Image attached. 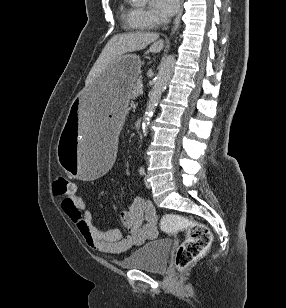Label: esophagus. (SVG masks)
<instances>
[{"mask_svg": "<svg viewBox=\"0 0 286 308\" xmlns=\"http://www.w3.org/2000/svg\"><path fill=\"white\" fill-rule=\"evenodd\" d=\"M182 1H183V0H182ZM181 14H182V8L179 10L178 15H177V17H176V19H175V23H176V24L179 23V19H180Z\"/></svg>", "mask_w": 286, "mask_h": 308, "instance_id": "esophagus-1", "label": "esophagus"}]
</instances>
